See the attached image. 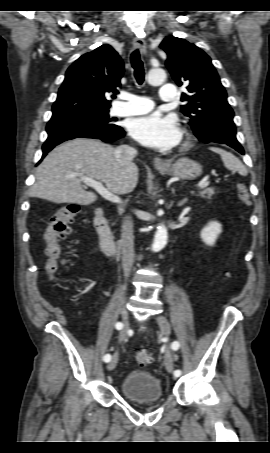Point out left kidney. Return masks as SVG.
<instances>
[{
  "label": "left kidney",
  "mask_w": 270,
  "mask_h": 453,
  "mask_svg": "<svg viewBox=\"0 0 270 453\" xmlns=\"http://www.w3.org/2000/svg\"><path fill=\"white\" fill-rule=\"evenodd\" d=\"M222 232V226L216 221L209 222L201 231L200 238L207 246H214L216 239Z\"/></svg>",
  "instance_id": "obj_1"
}]
</instances>
